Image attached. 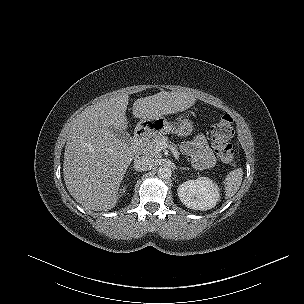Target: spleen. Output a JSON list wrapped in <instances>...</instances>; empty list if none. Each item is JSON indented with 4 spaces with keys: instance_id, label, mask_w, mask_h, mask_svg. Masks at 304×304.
Returning <instances> with one entry per match:
<instances>
[{
    "instance_id": "spleen-1",
    "label": "spleen",
    "mask_w": 304,
    "mask_h": 304,
    "mask_svg": "<svg viewBox=\"0 0 304 304\" xmlns=\"http://www.w3.org/2000/svg\"><path fill=\"white\" fill-rule=\"evenodd\" d=\"M243 170L237 168L231 171L224 180L225 195L227 198H231L239 190L242 182Z\"/></svg>"
}]
</instances>
